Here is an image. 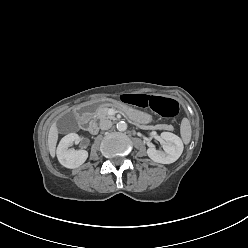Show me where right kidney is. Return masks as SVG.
I'll use <instances>...</instances> for the list:
<instances>
[{"mask_svg": "<svg viewBox=\"0 0 248 248\" xmlns=\"http://www.w3.org/2000/svg\"><path fill=\"white\" fill-rule=\"evenodd\" d=\"M80 138L76 133L64 136L57 147V158L61 165L66 168L74 169L81 166L88 158L86 150L69 149L74 143L79 142Z\"/></svg>", "mask_w": 248, "mask_h": 248, "instance_id": "right-kidney-1", "label": "right kidney"}]
</instances>
